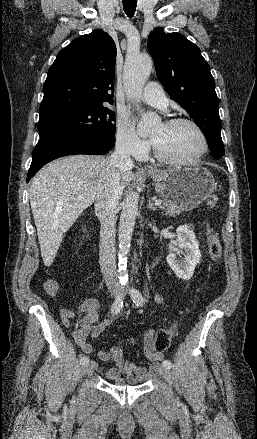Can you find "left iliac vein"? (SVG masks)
Wrapping results in <instances>:
<instances>
[{
  "instance_id": "obj_1",
  "label": "left iliac vein",
  "mask_w": 257,
  "mask_h": 439,
  "mask_svg": "<svg viewBox=\"0 0 257 439\" xmlns=\"http://www.w3.org/2000/svg\"><path fill=\"white\" fill-rule=\"evenodd\" d=\"M159 373L166 381H168L169 383L171 382V374L167 368L165 367L161 368Z\"/></svg>"
}]
</instances>
